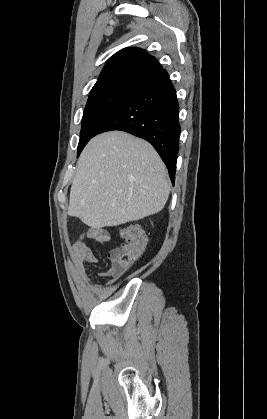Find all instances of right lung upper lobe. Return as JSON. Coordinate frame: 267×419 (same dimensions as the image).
<instances>
[{
	"mask_svg": "<svg viewBox=\"0 0 267 419\" xmlns=\"http://www.w3.org/2000/svg\"><path fill=\"white\" fill-rule=\"evenodd\" d=\"M161 70L155 57L143 49L124 48L109 59L90 95L115 90L134 91Z\"/></svg>",
	"mask_w": 267,
	"mask_h": 419,
	"instance_id": "1",
	"label": "right lung upper lobe"
}]
</instances>
